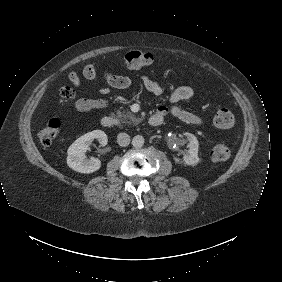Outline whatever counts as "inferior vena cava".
<instances>
[{"mask_svg": "<svg viewBox=\"0 0 282 282\" xmlns=\"http://www.w3.org/2000/svg\"><path fill=\"white\" fill-rule=\"evenodd\" d=\"M117 143L122 147L128 146L130 143V136L127 133H119L117 136Z\"/></svg>", "mask_w": 282, "mask_h": 282, "instance_id": "602c4592", "label": "inferior vena cava"}]
</instances>
